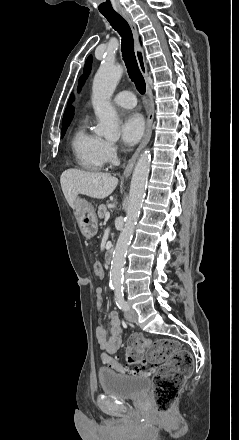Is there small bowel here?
Returning <instances> with one entry per match:
<instances>
[{
	"mask_svg": "<svg viewBox=\"0 0 239 440\" xmlns=\"http://www.w3.org/2000/svg\"><path fill=\"white\" fill-rule=\"evenodd\" d=\"M103 305V289L96 288V309L100 314ZM108 330L105 329L100 321L96 328V338L99 349L101 350V361L107 366L112 367V361L115 360L111 356L115 354L122 343V328L120 320L116 312H111L108 315Z\"/></svg>",
	"mask_w": 239,
	"mask_h": 440,
	"instance_id": "1",
	"label": "small bowel"
}]
</instances>
